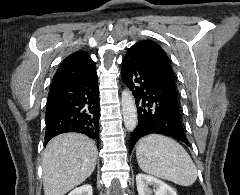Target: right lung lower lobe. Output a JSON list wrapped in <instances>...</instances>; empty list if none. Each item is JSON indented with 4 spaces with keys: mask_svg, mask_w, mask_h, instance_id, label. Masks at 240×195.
Here are the masks:
<instances>
[{
    "mask_svg": "<svg viewBox=\"0 0 240 195\" xmlns=\"http://www.w3.org/2000/svg\"><path fill=\"white\" fill-rule=\"evenodd\" d=\"M99 93L96 70L74 81L52 82L46 109V143L67 132L83 133L99 144Z\"/></svg>",
    "mask_w": 240,
    "mask_h": 195,
    "instance_id": "1",
    "label": "right lung lower lobe"
}]
</instances>
